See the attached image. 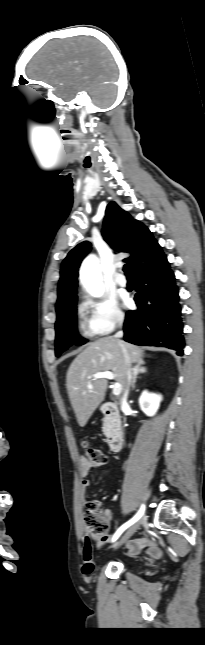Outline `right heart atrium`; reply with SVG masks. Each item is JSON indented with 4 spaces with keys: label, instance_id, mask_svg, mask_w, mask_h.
Listing matches in <instances>:
<instances>
[{
    "label": "right heart atrium",
    "instance_id": "1",
    "mask_svg": "<svg viewBox=\"0 0 205 645\" xmlns=\"http://www.w3.org/2000/svg\"><path fill=\"white\" fill-rule=\"evenodd\" d=\"M79 310L85 317L86 331L89 335H109L125 323L124 312L110 297H85L79 305Z\"/></svg>",
    "mask_w": 205,
    "mask_h": 645
}]
</instances>
